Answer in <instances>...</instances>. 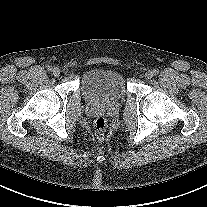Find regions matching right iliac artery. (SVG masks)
I'll list each match as a JSON object with an SVG mask.
<instances>
[{
  "instance_id": "obj_1",
  "label": "right iliac artery",
  "mask_w": 207,
  "mask_h": 207,
  "mask_svg": "<svg viewBox=\"0 0 207 207\" xmlns=\"http://www.w3.org/2000/svg\"><path fill=\"white\" fill-rule=\"evenodd\" d=\"M47 70H48L49 72H51V71L53 70V67L48 66V67H47Z\"/></svg>"
}]
</instances>
